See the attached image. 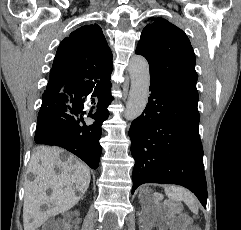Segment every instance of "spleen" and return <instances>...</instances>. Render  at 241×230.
Returning <instances> with one entry per match:
<instances>
[{
    "label": "spleen",
    "instance_id": "3e777b00",
    "mask_svg": "<svg viewBox=\"0 0 241 230\" xmlns=\"http://www.w3.org/2000/svg\"><path fill=\"white\" fill-rule=\"evenodd\" d=\"M165 193L174 201H183L193 213H198V201L196 197L189 191L181 187L171 186L165 189Z\"/></svg>",
    "mask_w": 241,
    "mask_h": 230
}]
</instances>
